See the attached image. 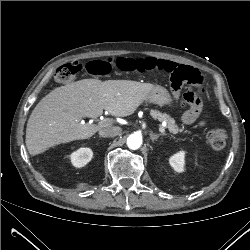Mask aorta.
Masks as SVG:
<instances>
[{
  "instance_id": "obj_1",
  "label": "aorta",
  "mask_w": 250,
  "mask_h": 250,
  "mask_svg": "<svg viewBox=\"0 0 250 250\" xmlns=\"http://www.w3.org/2000/svg\"><path fill=\"white\" fill-rule=\"evenodd\" d=\"M127 145L130 149L136 150L142 145V137L139 134H131L127 138Z\"/></svg>"
}]
</instances>
